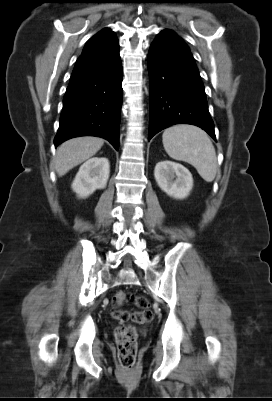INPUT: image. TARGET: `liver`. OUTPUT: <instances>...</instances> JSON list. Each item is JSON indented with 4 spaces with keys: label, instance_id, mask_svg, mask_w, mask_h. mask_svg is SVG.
Masks as SVG:
<instances>
[{
    "label": "liver",
    "instance_id": "6515ba94",
    "mask_svg": "<svg viewBox=\"0 0 272 401\" xmlns=\"http://www.w3.org/2000/svg\"><path fill=\"white\" fill-rule=\"evenodd\" d=\"M104 140L98 137H77L62 143L56 152L54 165L61 177L69 170L95 155L103 146Z\"/></svg>",
    "mask_w": 272,
    "mask_h": 401
}]
</instances>
